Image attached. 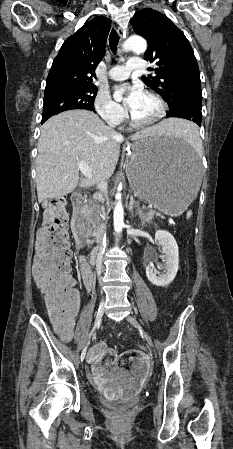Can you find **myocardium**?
Instances as JSON below:
<instances>
[{
    "label": "myocardium",
    "mask_w": 233,
    "mask_h": 449,
    "mask_svg": "<svg viewBox=\"0 0 233 449\" xmlns=\"http://www.w3.org/2000/svg\"><path fill=\"white\" fill-rule=\"evenodd\" d=\"M145 95L151 97L158 104L159 110H158V113L152 119L147 120V121H140L137 118H135L133 116V114L131 113L130 114L131 123L136 127L152 126V125L158 123L164 117V115L166 113L167 105L160 95H158L155 92H150V91L145 92Z\"/></svg>",
    "instance_id": "f54148a6"
}]
</instances>
